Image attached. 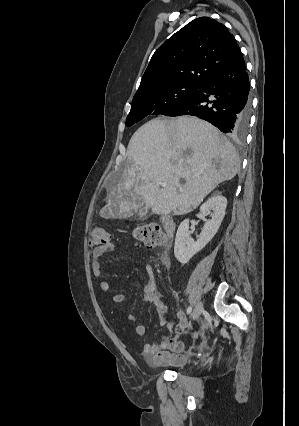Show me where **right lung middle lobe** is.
Listing matches in <instances>:
<instances>
[{"mask_svg": "<svg viewBox=\"0 0 299 426\" xmlns=\"http://www.w3.org/2000/svg\"><path fill=\"white\" fill-rule=\"evenodd\" d=\"M194 84H173L133 99L126 125L131 126L151 115H167L186 102L198 89Z\"/></svg>", "mask_w": 299, "mask_h": 426, "instance_id": "obj_1", "label": "right lung middle lobe"}]
</instances>
